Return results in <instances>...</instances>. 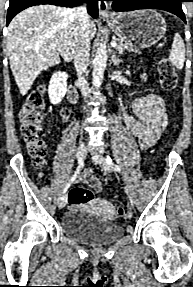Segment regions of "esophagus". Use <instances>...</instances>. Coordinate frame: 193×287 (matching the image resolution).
<instances>
[{
	"label": "esophagus",
	"mask_w": 193,
	"mask_h": 287,
	"mask_svg": "<svg viewBox=\"0 0 193 287\" xmlns=\"http://www.w3.org/2000/svg\"><path fill=\"white\" fill-rule=\"evenodd\" d=\"M99 15L103 19L111 18V14L109 11V4L107 0H99L98 1Z\"/></svg>",
	"instance_id": "34e87169"
}]
</instances>
